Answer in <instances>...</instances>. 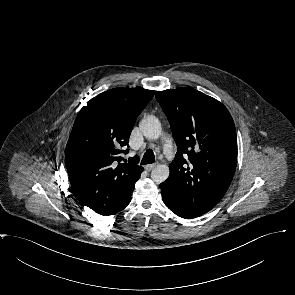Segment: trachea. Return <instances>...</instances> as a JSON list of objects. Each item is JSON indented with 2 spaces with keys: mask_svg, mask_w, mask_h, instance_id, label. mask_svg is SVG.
Segmentation results:
<instances>
[{
  "mask_svg": "<svg viewBox=\"0 0 295 295\" xmlns=\"http://www.w3.org/2000/svg\"><path fill=\"white\" fill-rule=\"evenodd\" d=\"M155 162V155H154V152L151 150V149H148L142 160H141V164L144 165V164H151V163H154Z\"/></svg>",
  "mask_w": 295,
  "mask_h": 295,
  "instance_id": "trachea-1",
  "label": "trachea"
}]
</instances>
